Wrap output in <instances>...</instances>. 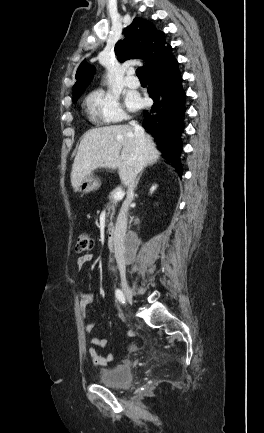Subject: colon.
Listing matches in <instances>:
<instances>
[{
	"instance_id": "5ec220e1",
	"label": "colon",
	"mask_w": 264,
	"mask_h": 433,
	"mask_svg": "<svg viewBox=\"0 0 264 433\" xmlns=\"http://www.w3.org/2000/svg\"><path fill=\"white\" fill-rule=\"evenodd\" d=\"M93 246L94 243L91 236L86 232H82L77 237L75 251L79 254L85 255L93 249Z\"/></svg>"
}]
</instances>
